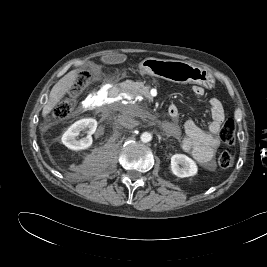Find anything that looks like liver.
<instances>
[{
    "label": "liver",
    "mask_w": 267,
    "mask_h": 267,
    "mask_svg": "<svg viewBox=\"0 0 267 267\" xmlns=\"http://www.w3.org/2000/svg\"><path fill=\"white\" fill-rule=\"evenodd\" d=\"M79 72V69L68 72L53 86L49 94V99L42 110L43 117H46L60 100L73 88L78 79Z\"/></svg>",
    "instance_id": "6515ba94"
}]
</instances>
